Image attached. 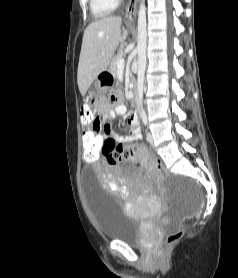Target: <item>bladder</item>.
<instances>
[{
	"instance_id": "1",
	"label": "bladder",
	"mask_w": 238,
	"mask_h": 278,
	"mask_svg": "<svg viewBox=\"0 0 238 278\" xmlns=\"http://www.w3.org/2000/svg\"><path fill=\"white\" fill-rule=\"evenodd\" d=\"M82 174L83 180H94L93 169H82ZM84 186L99 233L107 239L142 245L145 239L143 221L127 214L118 197L99 187L98 181H84Z\"/></svg>"
}]
</instances>
